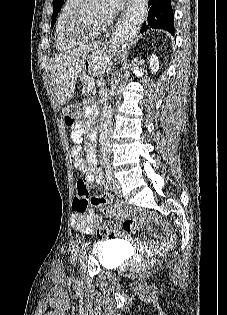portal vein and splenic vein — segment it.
<instances>
[{"instance_id":"1","label":"portal vein and splenic vein","mask_w":227,"mask_h":315,"mask_svg":"<svg viewBox=\"0 0 227 315\" xmlns=\"http://www.w3.org/2000/svg\"><path fill=\"white\" fill-rule=\"evenodd\" d=\"M90 85H95V84H94V81H92V82L90 83ZM93 92H95V90H93Z\"/></svg>"}]
</instances>
